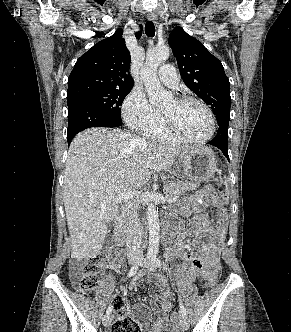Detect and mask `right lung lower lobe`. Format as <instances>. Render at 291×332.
<instances>
[{
  "mask_svg": "<svg viewBox=\"0 0 291 332\" xmlns=\"http://www.w3.org/2000/svg\"><path fill=\"white\" fill-rule=\"evenodd\" d=\"M121 126L105 111L86 101H77L69 106L67 140L70 144L73 137L82 130L91 127Z\"/></svg>",
  "mask_w": 291,
  "mask_h": 332,
  "instance_id": "1",
  "label": "right lung lower lobe"
}]
</instances>
